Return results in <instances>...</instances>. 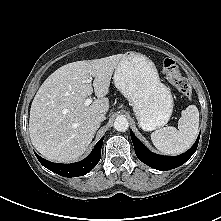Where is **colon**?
Here are the masks:
<instances>
[{"label": "colon", "instance_id": "5ec220e1", "mask_svg": "<svg viewBox=\"0 0 221 221\" xmlns=\"http://www.w3.org/2000/svg\"><path fill=\"white\" fill-rule=\"evenodd\" d=\"M163 73L171 85L183 96L189 98L192 94L191 87L187 80L181 75L177 63L172 59H165Z\"/></svg>", "mask_w": 221, "mask_h": 221}]
</instances>
